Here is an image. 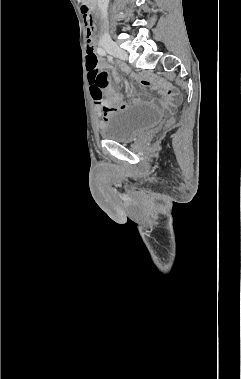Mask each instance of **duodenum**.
I'll return each mask as SVG.
<instances>
[{
  "instance_id": "duodenum-1",
  "label": "duodenum",
  "mask_w": 241,
  "mask_h": 379,
  "mask_svg": "<svg viewBox=\"0 0 241 379\" xmlns=\"http://www.w3.org/2000/svg\"><path fill=\"white\" fill-rule=\"evenodd\" d=\"M96 1L97 0H88V3H87L88 5L83 7L86 9V14H87L88 19H91L89 8H93L96 4Z\"/></svg>"
}]
</instances>
